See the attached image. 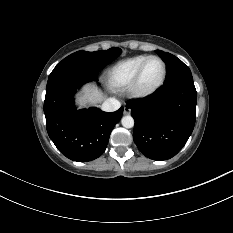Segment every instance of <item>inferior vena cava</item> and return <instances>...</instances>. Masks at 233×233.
I'll return each mask as SVG.
<instances>
[{
    "label": "inferior vena cava",
    "instance_id": "obj_1",
    "mask_svg": "<svg viewBox=\"0 0 233 233\" xmlns=\"http://www.w3.org/2000/svg\"><path fill=\"white\" fill-rule=\"evenodd\" d=\"M121 104L120 102L115 99V98H108L106 99L102 106L101 109L105 112H114L120 108Z\"/></svg>",
    "mask_w": 233,
    "mask_h": 233
}]
</instances>
